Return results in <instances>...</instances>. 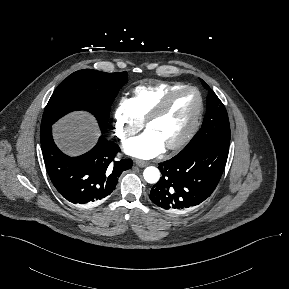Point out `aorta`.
I'll list each match as a JSON object with an SVG mask.
<instances>
[{"mask_svg":"<svg viewBox=\"0 0 289 289\" xmlns=\"http://www.w3.org/2000/svg\"><path fill=\"white\" fill-rule=\"evenodd\" d=\"M143 176H144V179L146 182H148L150 184H154V183L158 182V180L160 178V172H159L158 168H156L154 166H150L144 170Z\"/></svg>","mask_w":289,"mask_h":289,"instance_id":"1","label":"aorta"}]
</instances>
